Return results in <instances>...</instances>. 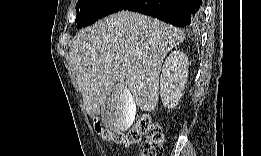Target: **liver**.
I'll return each mask as SVG.
<instances>
[{
	"instance_id": "obj_1",
	"label": "liver",
	"mask_w": 261,
	"mask_h": 156,
	"mask_svg": "<svg viewBox=\"0 0 261 156\" xmlns=\"http://www.w3.org/2000/svg\"><path fill=\"white\" fill-rule=\"evenodd\" d=\"M184 39L181 29L130 11L109 15L77 33L69 60L87 114L91 118L99 116L110 93L118 101L127 93L133 105L130 118L119 122L113 131H125L131 126L136 105L142 111H154L164 58Z\"/></svg>"
}]
</instances>
